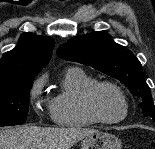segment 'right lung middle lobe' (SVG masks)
I'll list each match as a JSON object with an SVG mask.
<instances>
[{"mask_svg": "<svg viewBox=\"0 0 155 149\" xmlns=\"http://www.w3.org/2000/svg\"><path fill=\"white\" fill-rule=\"evenodd\" d=\"M35 76L0 78V126L25 123Z\"/></svg>", "mask_w": 155, "mask_h": 149, "instance_id": "dd1d6c3e", "label": "right lung middle lobe"}]
</instances>
